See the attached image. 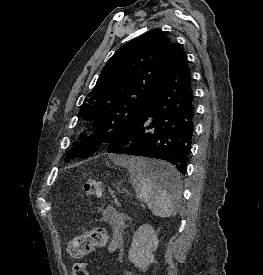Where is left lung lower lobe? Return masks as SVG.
<instances>
[{"label":"left lung lower lobe","instance_id":"left-lung-lower-lobe-1","mask_svg":"<svg viewBox=\"0 0 263 275\" xmlns=\"http://www.w3.org/2000/svg\"><path fill=\"white\" fill-rule=\"evenodd\" d=\"M195 114L188 60L183 49H179L139 121L130 132L111 142L108 152L171 163L170 168H150L147 174L172 190L187 171Z\"/></svg>","mask_w":263,"mask_h":275}]
</instances>
